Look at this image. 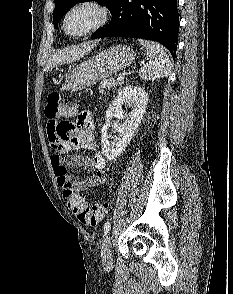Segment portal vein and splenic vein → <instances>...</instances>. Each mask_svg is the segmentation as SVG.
I'll list each match as a JSON object with an SVG mask.
<instances>
[{
  "instance_id": "18ae733b",
  "label": "portal vein and splenic vein",
  "mask_w": 233,
  "mask_h": 294,
  "mask_svg": "<svg viewBox=\"0 0 233 294\" xmlns=\"http://www.w3.org/2000/svg\"><path fill=\"white\" fill-rule=\"evenodd\" d=\"M117 80H118V81H123V80H124V76L119 75V76L117 77Z\"/></svg>"
}]
</instances>
